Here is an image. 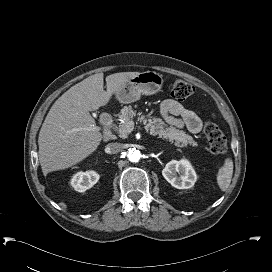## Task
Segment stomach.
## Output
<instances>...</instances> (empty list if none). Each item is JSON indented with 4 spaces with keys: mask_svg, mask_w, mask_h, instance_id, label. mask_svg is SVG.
I'll list each match as a JSON object with an SVG mask.
<instances>
[{
    "mask_svg": "<svg viewBox=\"0 0 272 272\" xmlns=\"http://www.w3.org/2000/svg\"><path fill=\"white\" fill-rule=\"evenodd\" d=\"M164 79L160 73L146 71L131 78L115 93L122 104H129L140 99L141 95H154L162 88Z\"/></svg>",
    "mask_w": 272,
    "mask_h": 272,
    "instance_id": "0dacf381",
    "label": "stomach"
}]
</instances>
